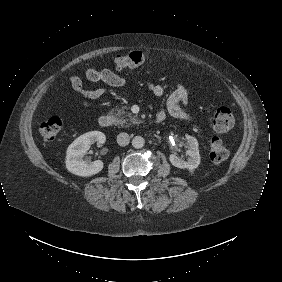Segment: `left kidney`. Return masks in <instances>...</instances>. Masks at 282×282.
<instances>
[{"label": "left kidney", "mask_w": 282, "mask_h": 282, "mask_svg": "<svg viewBox=\"0 0 282 282\" xmlns=\"http://www.w3.org/2000/svg\"><path fill=\"white\" fill-rule=\"evenodd\" d=\"M185 141V146L187 148L186 154L190 156L188 162L183 161L175 154H171L169 156V161L173 166L185 169L187 170L189 176H193L201 161L199 144L196 138L189 135L185 136Z\"/></svg>", "instance_id": "1"}]
</instances>
